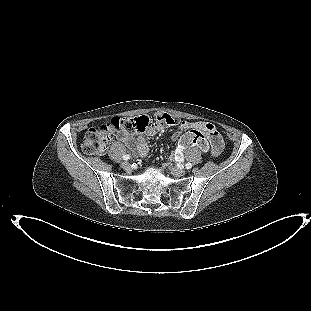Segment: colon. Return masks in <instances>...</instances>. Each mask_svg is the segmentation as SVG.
Returning <instances> with one entry per match:
<instances>
[{
	"instance_id": "5ec220e1",
	"label": "colon",
	"mask_w": 311,
	"mask_h": 311,
	"mask_svg": "<svg viewBox=\"0 0 311 311\" xmlns=\"http://www.w3.org/2000/svg\"><path fill=\"white\" fill-rule=\"evenodd\" d=\"M184 122L168 114L158 113L152 121L148 116L137 117H117L106 124L96 128L89 129L83 139L82 149L87 154H102L107 148V143L115 133H134L144 132L152 125L161 126H181ZM191 145L206 148L207 143L201 133L190 131L179 143L180 148H186Z\"/></svg>"
}]
</instances>
